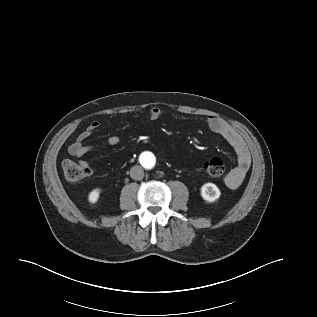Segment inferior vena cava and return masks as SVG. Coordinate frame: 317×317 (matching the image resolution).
<instances>
[{
	"mask_svg": "<svg viewBox=\"0 0 317 317\" xmlns=\"http://www.w3.org/2000/svg\"><path fill=\"white\" fill-rule=\"evenodd\" d=\"M130 176L134 180H142L144 178V171L141 166L135 165L130 169Z\"/></svg>",
	"mask_w": 317,
	"mask_h": 317,
	"instance_id": "1",
	"label": "inferior vena cava"
}]
</instances>
